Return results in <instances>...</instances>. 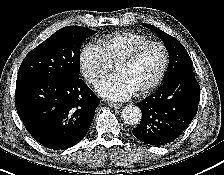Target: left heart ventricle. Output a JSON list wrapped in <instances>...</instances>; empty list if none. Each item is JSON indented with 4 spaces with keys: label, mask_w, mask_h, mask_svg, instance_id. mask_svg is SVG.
I'll return each instance as SVG.
<instances>
[{
    "label": "left heart ventricle",
    "mask_w": 224,
    "mask_h": 175,
    "mask_svg": "<svg viewBox=\"0 0 224 175\" xmlns=\"http://www.w3.org/2000/svg\"><path fill=\"white\" fill-rule=\"evenodd\" d=\"M162 61V50L152 46L146 49L134 63L118 65L115 72L123 76L137 91L155 78L161 68Z\"/></svg>",
    "instance_id": "1"
}]
</instances>
